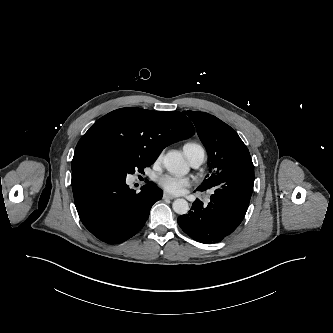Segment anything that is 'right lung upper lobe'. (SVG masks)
I'll use <instances>...</instances> for the list:
<instances>
[{
	"label": "right lung upper lobe",
	"mask_w": 333,
	"mask_h": 333,
	"mask_svg": "<svg viewBox=\"0 0 333 333\" xmlns=\"http://www.w3.org/2000/svg\"><path fill=\"white\" fill-rule=\"evenodd\" d=\"M194 133L191 121L178 111L117 109L96 121L82 136L71 167L82 164L85 154L92 150H111L156 159L166 146Z\"/></svg>",
	"instance_id": "1"
}]
</instances>
